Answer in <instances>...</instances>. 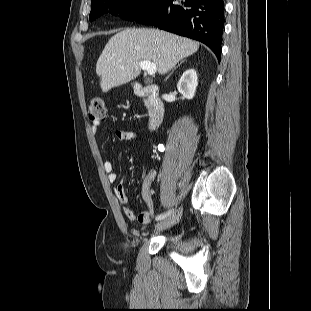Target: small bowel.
<instances>
[{
	"label": "small bowel",
	"mask_w": 311,
	"mask_h": 311,
	"mask_svg": "<svg viewBox=\"0 0 311 311\" xmlns=\"http://www.w3.org/2000/svg\"><path fill=\"white\" fill-rule=\"evenodd\" d=\"M101 127L100 122H94L91 127L90 131L92 134L96 135L99 133ZM114 136L117 140L120 141H129V140H136L138 135L135 132L127 131V130H116L114 132ZM103 168L105 173L107 174V179L110 183H115L118 179L117 174L114 171V165L111 161H105L103 164ZM155 178V173L151 172L143 181L142 184V197L146 204V209L140 213L136 214L133 209L128 205V197L125 192V187L122 182L118 183L114 188V193L122 205V210L125 216L130 220H136L141 224H148L150 223L151 219L155 215V206L152 200V192L150 190V184Z\"/></svg>",
	"instance_id": "c3829d8e"
}]
</instances>
